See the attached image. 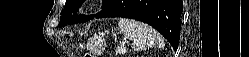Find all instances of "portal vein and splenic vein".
I'll return each instance as SVG.
<instances>
[{
	"label": "portal vein and splenic vein",
	"mask_w": 249,
	"mask_h": 57,
	"mask_svg": "<svg viewBox=\"0 0 249 57\" xmlns=\"http://www.w3.org/2000/svg\"><path fill=\"white\" fill-rule=\"evenodd\" d=\"M124 52H125V50H124L123 48H120V49H119V53H122V54H123Z\"/></svg>",
	"instance_id": "obj_1"
}]
</instances>
